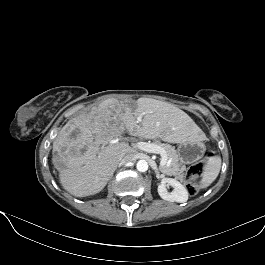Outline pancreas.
I'll return each instance as SVG.
<instances>
[{
  "mask_svg": "<svg viewBox=\"0 0 265 265\" xmlns=\"http://www.w3.org/2000/svg\"><path fill=\"white\" fill-rule=\"evenodd\" d=\"M153 143L162 147L167 153L169 164L160 165V171L168 176H175L177 179L182 180L184 177L183 168L175 148L170 144L161 143L159 140H155Z\"/></svg>",
  "mask_w": 265,
  "mask_h": 265,
  "instance_id": "pancreas-1",
  "label": "pancreas"
}]
</instances>
